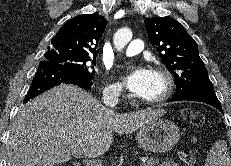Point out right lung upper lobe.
<instances>
[{"mask_svg":"<svg viewBox=\"0 0 231 166\" xmlns=\"http://www.w3.org/2000/svg\"><path fill=\"white\" fill-rule=\"evenodd\" d=\"M107 21L96 14H83L68 20L56 33L47 56L96 57L97 44Z\"/></svg>","mask_w":231,"mask_h":166,"instance_id":"1","label":"right lung upper lobe"}]
</instances>
